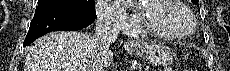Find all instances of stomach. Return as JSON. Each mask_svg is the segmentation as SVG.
Here are the masks:
<instances>
[{
    "label": "stomach",
    "instance_id": "1",
    "mask_svg": "<svg viewBox=\"0 0 230 71\" xmlns=\"http://www.w3.org/2000/svg\"><path fill=\"white\" fill-rule=\"evenodd\" d=\"M135 54L155 65H169L174 55L170 48L163 44H145L141 48H131Z\"/></svg>",
    "mask_w": 230,
    "mask_h": 71
}]
</instances>
